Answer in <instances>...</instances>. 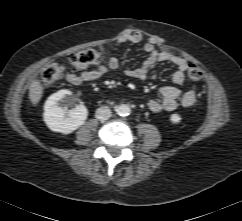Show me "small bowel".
<instances>
[{
	"label": "small bowel",
	"mask_w": 242,
	"mask_h": 221,
	"mask_svg": "<svg viewBox=\"0 0 242 221\" xmlns=\"http://www.w3.org/2000/svg\"><path fill=\"white\" fill-rule=\"evenodd\" d=\"M145 35L139 31H124L116 40L117 44L124 42L139 43L144 40ZM143 49L148 53V57L138 66L127 68L124 75L129 78L145 80L148 78L151 69L161 62H167L176 67L172 80L175 86H164L159 89V98L149 101V109L153 113L163 111H174L178 106L185 108L191 107L196 101V94L193 90L181 91L179 85L184 82L185 71L188 68V62L184 58L168 51H159L152 41H147ZM121 60L118 57H111L106 64H97L92 69L82 70L78 73L67 71L66 80L73 85H80L86 82H92L100 79L110 70H116L120 67Z\"/></svg>",
	"instance_id": "1"
}]
</instances>
